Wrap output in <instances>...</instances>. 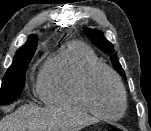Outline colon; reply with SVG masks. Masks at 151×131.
Masks as SVG:
<instances>
[{"label":"colon","mask_w":151,"mask_h":131,"mask_svg":"<svg viewBox=\"0 0 151 131\" xmlns=\"http://www.w3.org/2000/svg\"><path fill=\"white\" fill-rule=\"evenodd\" d=\"M104 131H126V130L117 126H113L108 129H105Z\"/></svg>","instance_id":"5ec220e1"}]
</instances>
